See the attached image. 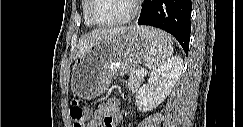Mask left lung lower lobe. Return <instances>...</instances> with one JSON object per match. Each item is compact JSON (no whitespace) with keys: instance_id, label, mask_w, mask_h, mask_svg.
Returning <instances> with one entry per match:
<instances>
[{"instance_id":"left-lung-lower-lobe-1","label":"left lung lower lobe","mask_w":243,"mask_h":127,"mask_svg":"<svg viewBox=\"0 0 243 127\" xmlns=\"http://www.w3.org/2000/svg\"><path fill=\"white\" fill-rule=\"evenodd\" d=\"M191 10V0H144L138 24L171 33L188 54Z\"/></svg>"}]
</instances>
